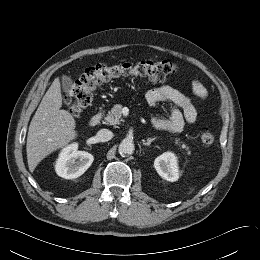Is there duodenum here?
Instances as JSON below:
<instances>
[{"instance_id":"obj_1","label":"duodenum","mask_w":260,"mask_h":260,"mask_svg":"<svg viewBox=\"0 0 260 260\" xmlns=\"http://www.w3.org/2000/svg\"><path fill=\"white\" fill-rule=\"evenodd\" d=\"M102 118H103V111L97 112L89 119L88 122L89 126L91 127L97 126L101 122Z\"/></svg>"}]
</instances>
